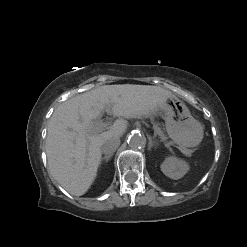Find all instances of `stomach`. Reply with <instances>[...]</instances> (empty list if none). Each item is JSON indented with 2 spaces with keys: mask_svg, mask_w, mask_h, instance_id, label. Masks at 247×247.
Segmentation results:
<instances>
[{
  "mask_svg": "<svg viewBox=\"0 0 247 247\" xmlns=\"http://www.w3.org/2000/svg\"><path fill=\"white\" fill-rule=\"evenodd\" d=\"M169 137L182 148L198 146L204 135L201 123L190 113L187 106L172 96L161 106Z\"/></svg>",
  "mask_w": 247,
  "mask_h": 247,
  "instance_id": "obj_1",
  "label": "stomach"
}]
</instances>
